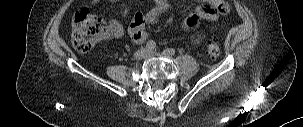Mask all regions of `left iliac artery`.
I'll list each match as a JSON object with an SVG mask.
<instances>
[{"mask_svg":"<svg viewBox=\"0 0 303 127\" xmlns=\"http://www.w3.org/2000/svg\"><path fill=\"white\" fill-rule=\"evenodd\" d=\"M163 53L166 54L167 56H173L176 53V51L173 48H167L163 51Z\"/></svg>","mask_w":303,"mask_h":127,"instance_id":"44dca946","label":"left iliac artery"}]
</instances>
